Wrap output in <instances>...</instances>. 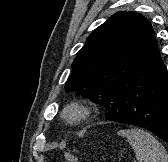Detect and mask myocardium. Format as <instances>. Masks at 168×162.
I'll use <instances>...</instances> for the list:
<instances>
[{
	"label": "myocardium",
	"instance_id": "f54148a6",
	"mask_svg": "<svg viewBox=\"0 0 168 162\" xmlns=\"http://www.w3.org/2000/svg\"><path fill=\"white\" fill-rule=\"evenodd\" d=\"M91 107L82 101H73L67 104L62 111L63 120L70 125H77L91 114Z\"/></svg>",
	"mask_w": 168,
	"mask_h": 162
}]
</instances>
